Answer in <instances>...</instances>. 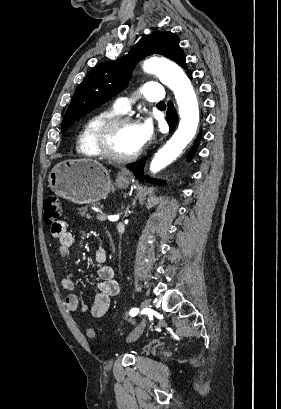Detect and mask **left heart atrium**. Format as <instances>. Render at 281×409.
Masks as SVG:
<instances>
[{
    "mask_svg": "<svg viewBox=\"0 0 281 409\" xmlns=\"http://www.w3.org/2000/svg\"><path fill=\"white\" fill-rule=\"evenodd\" d=\"M138 129V137L141 146H144L147 142H149L153 137V125L151 121L145 120L143 123L137 125Z\"/></svg>",
    "mask_w": 281,
    "mask_h": 409,
    "instance_id": "left-heart-atrium-1",
    "label": "left heart atrium"
}]
</instances>
